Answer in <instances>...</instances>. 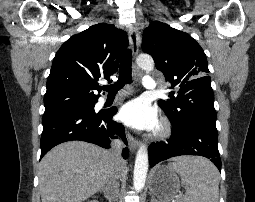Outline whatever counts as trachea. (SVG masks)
I'll use <instances>...</instances> for the list:
<instances>
[{"mask_svg":"<svg viewBox=\"0 0 255 202\" xmlns=\"http://www.w3.org/2000/svg\"><path fill=\"white\" fill-rule=\"evenodd\" d=\"M132 66V51L127 49L122 57L119 69V79L112 85L103 87L104 91H107L109 95L116 94L125 84L132 83L131 75Z\"/></svg>","mask_w":255,"mask_h":202,"instance_id":"3493384b","label":"trachea"}]
</instances>
